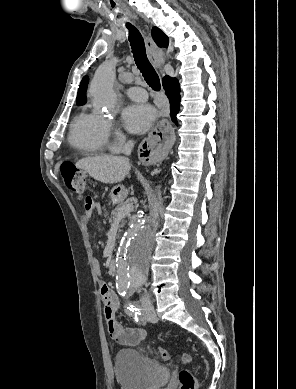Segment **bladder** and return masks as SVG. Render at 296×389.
I'll use <instances>...</instances> for the list:
<instances>
[{
    "instance_id": "bladder-1",
    "label": "bladder",
    "mask_w": 296,
    "mask_h": 389,
    "mask_svg": "<svg viewBox=\"0 0 296 389\" xmlns=\"http://www.w3.org/2000/svg\"><path fill=\"white\" fill-rule=\"evenodd\" d=\"M114 362L116 377L122 389H159L169 379L167 367L143 357L134 349L118 351Z\"/></svg>"
}]
</instances>
